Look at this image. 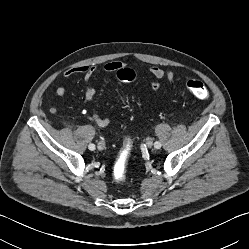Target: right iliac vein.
Instances as JSON below:
<instances>
[{"label": "right iliac vein", "instance_id": "1", "mask_svg": "<svg viewBox=\"0 0 249 249\" xmlns=\"http://www.w3.org/2000/svg\"><path fill=\"white\" fill-rule=\"evenodd\" d=\"M97 148L102 151L105 149V143L103 141H100L97 145Z\"/></svg>", "mask_w": 249, "mask_h": 249}]
</instances>
